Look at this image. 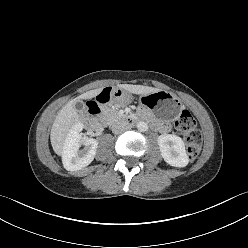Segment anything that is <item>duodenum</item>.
<instances>
[{
    "label": "duodenum",
    "mask_w": 248,
    "mask_h": 248,
    "mask_svg": "<svg viewBox=\"0 0 248 248\" xmlns=\"http://www.w3.org/2000/svg\"><path fill=\"white\" fill-rule=\"evenodd\" d=\"M116 90L112 86H106L102 88L99 94L95 95L94 99H90L87 102V115L90 118L91 125L95 129H101L105 124V118L102 114V106L106 104L114 96ZM124 123L127 125H133L136 119L127 116L123 119ZM152 127L157 129L158 123L152 121Z\"/></svg>",
    "instance_id": "410a0bca"
}]
</instances>
